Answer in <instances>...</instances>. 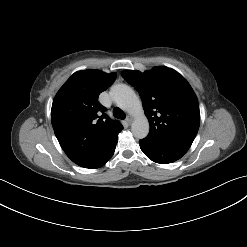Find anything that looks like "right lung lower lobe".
Masks as SVG:
<instances>
[{"instance_id": "98d812e1", "label": "right lung lower lobe", "mask_w": 247, "mask_h": 247, "mask_svg": "<svg viewBox=\"0 0 247 247\" xmlns=\"http://www.w3.org/2000/svg\"><path fill=\"white\" fill-rule=\"evenodd\" d=\"M120 132L103 142L95 151L94 156L81 166L84 168L95 169L105 165L106 162L109 161V159L114 154L115 147L118 141V134Z\"/></svg>"}]
</instances>
